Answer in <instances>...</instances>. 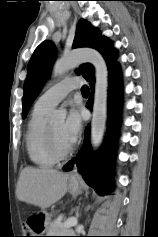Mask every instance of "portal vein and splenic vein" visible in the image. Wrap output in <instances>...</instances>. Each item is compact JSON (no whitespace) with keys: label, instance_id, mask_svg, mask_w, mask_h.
Segmentation results:
<instances>
[{"label":"portal vein and splenic vein","instance_id":"18ae733b","mask_svg":"<svg viewBox=\"0 0 158 237\" xmlns=\"http://www.w3.org/2000/svg\"><path fill=\"white\" fill-rule=\"evenodd\" d=\"M77 225V219L75 217H70L68 218L63 224L62 226L64 228H69V227H72V226H75Z\"/></svg>","mask_w":158,"mask_h":237}]
</instances>
